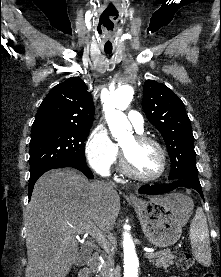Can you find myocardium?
<instances>
[{
  "label": "myocardium",
  "mask_w": 221,
  "mask_h": 277,
  "mask_svg": "<svg viewBox=\"0 0 221 277\" xmlns=\"http://www.w3.org/2000/svg\"><path fill=\"white\" fill-rule=\"evenodd\" d=\"M133 139H134L135 143L138 145L151 144L157 148V150L159 151L160 157H161L160 170L154 176L146 177V176L140 175L132 168L127 153L125 152V150L122 147H120V166H121L122 171L129 177L134 178L139 181H142V182H153V181L158 180L159 178H161L163 176V174L165 173L166 167H167V154H166L165 149L163 148V146L160 144L159 141H157L156 139L149 137V136L135 135L133 137Z\"/></svg>",
  "instance_id": "myocardium-1"
}]
</instances>
